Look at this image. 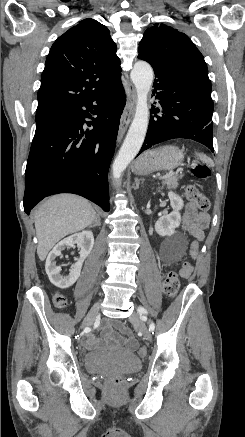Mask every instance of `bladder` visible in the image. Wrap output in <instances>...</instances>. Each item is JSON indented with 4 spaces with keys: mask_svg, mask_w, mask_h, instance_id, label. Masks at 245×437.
<instances>
[{
    "mask_svg": "<svg viewBox=\"0 0 245 437\" xmlns=\"http://www.w3.org/2000/svg\"><path fill=\"white\" fill-rule=\"evenodd\" d=\"M84 365L87 371L95 374H125L139 370L141 361L127 350L103 348L86 353Z\"/></svg>",
    "mask_w": 245,
    "mask_h": 437,
    "instance_id": "bladder-1",
    "label": "bladder"
}]
</instances>
